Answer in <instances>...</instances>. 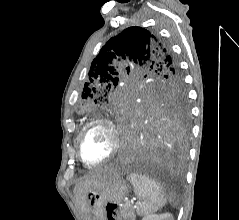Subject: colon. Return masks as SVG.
Returning a JSON list of instances; mask_svg holds the SVG:
<instances>
[{"instance_id": "1", "label": "colon", "mask_w": 239, "mask_h": 220, "mask_svg": "<svg viewBox=\"0 0 239 220\" xmlns=\"http://www.w3.org/2000/svg\"><path fill=\"white\" fill-rule=\"evenodd\" d=\"M118 205L114 203H109L106 207V216L108 220H119L116 215V209Z\"/></svg>"}]
</instances>
